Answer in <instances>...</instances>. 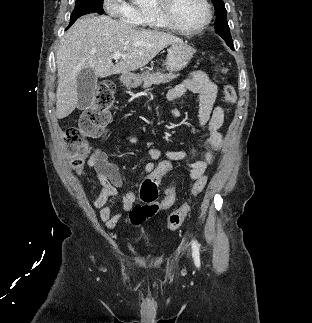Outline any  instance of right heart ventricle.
Here are the masks:
<instances>
[{"instance_id":"1","label":"right heart ventricle","mask_w":312,"mask_h":323,"mask_svg":"<svg viewBox=\"0 0 312 323\" xmlns=\"http://www.w3.org/2000/svg\"><path fill=\"white\" fill-rule=\"evenodd\" d=\"M134 15L137 16V25H155L156 29H167L168 24L164 18H159V10L152 5H144L142 9H135Z\"/></svg>"}]
</instances>
